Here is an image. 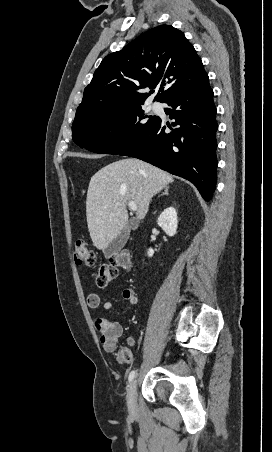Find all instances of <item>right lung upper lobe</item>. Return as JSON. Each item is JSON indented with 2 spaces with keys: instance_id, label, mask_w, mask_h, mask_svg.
<instances>
[{
  "instance_id": "obj_1",
  "label": "right lung upper lobe",
  "mask_w": 272,
  "mask_h": 452,
  "mask_svg": "<svg viewBox=\"0 0 272 452\" xmlns=\"http://www.w3.org/2000/svg\"><path fill=\"white\" fill-rule=\"evenodd\" d=\"M207 77L203 64L184 34L160 25L106 56L85 88L76 118L100 110L143 104L150 96L142 88L160 85L154 101L166 102Z\"/></svg>"
}]
</instances>
